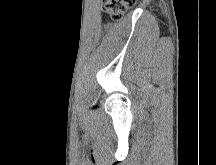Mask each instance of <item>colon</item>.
Segmentation results:
<instances>
[{"label":"colon","instance_id":"1","mask_svg":"<svg viewBox=\"0 0 216 165\" xmlns=\"http://www.w3.org/2000/svg\"><path fill=\"white\" fill-rule=\"evenodd\" d=\"M137 0H105L104 11L113 20L122 18L125 11L133 6Z\"/></svg>","mask_w":216,"mask_h":165}]
</instances>
